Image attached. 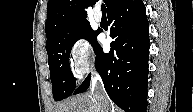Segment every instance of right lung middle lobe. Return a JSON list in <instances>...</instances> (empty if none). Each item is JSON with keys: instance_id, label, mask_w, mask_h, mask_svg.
<instances>
[{"instance_id": "obj_1", "label": "right lung middle lobe", "mask_w": 193, "mask_h": 112, "mask_svg": "<svg viewBox=\"0 0 193 112\" xmlns=\"http://www.w3.org/2000/svg\"><path fill=\"white\" fill-rule=\"evenodd\" d=\"M97 34V31H93L90 25L86 24L64 30L46 44L55 101L68 97L76 89V80L69 65L72 46L77 40L84 38L92 44L96 51L99 47L96 41Z\"/></svg>"}]
</instances>
